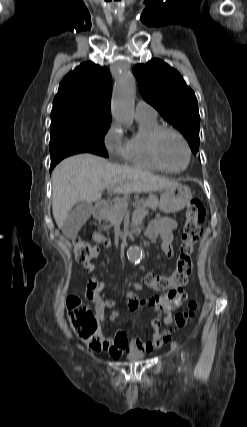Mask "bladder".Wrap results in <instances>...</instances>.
<instances>
[{
    "label": "bladder",
    "instance_id": "1",
    "mask_svg": "<svg viewBox=\"0 0 247 427\" xmlns=\"http://www.w3.org/2000/svg\"><path fill=\"white\" fill-rule=\"evenodd\" d=\"M126 357L130 361H138L145 357V353L142 351H132L128 353Z\"/></svg>",
    "mask_w": 247,
    "mask_h": 427
}]
</instances>
